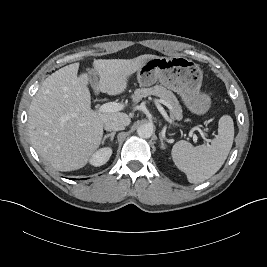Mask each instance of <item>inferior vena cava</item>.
I'll list each match as a JSON object with an SVG mask.
<instances>
[{"mask_svg": "<svg viewBox=\"0 0 267 267\" xmlns=\"http://www.w3.org/2000/svg\"><path fill=\"white\" fill-rule=\"evenodd\" d=\"M126 122L120 118L109 119L104 123V128L106 131H119L124 130Z\"/></svg>", "mask_w": 267, "mask_h": 267, "instance_id": "inferior-vena-cava-1", "label": "inferior vena cava"}]
</instances>
